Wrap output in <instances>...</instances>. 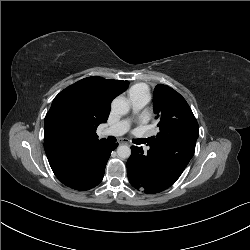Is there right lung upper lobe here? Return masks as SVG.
I'll use <instances>...</instances> for the list:
<instances>
[{"label":"right lung upper lobe","instance_id":"right-lung-upper-lobe-1","mask_svg":"<svg viewBox=\"0 0 250 250\" xmlns=\"http://www.w3.org/2000/svg\"><path fill=\"white\" fill-rule=\"evenodd\" d=\"M128 81L87 77L61 91L45 117L44 149L61 182H77L79 161L97 143L96 129L105 123L112 100Z\"/></svg>","mask_w":250,"mask_h":250}]
</instances>
